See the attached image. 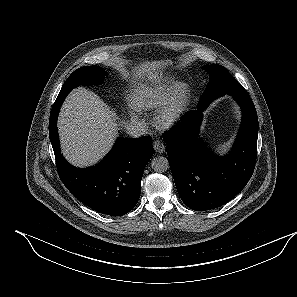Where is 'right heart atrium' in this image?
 I'll return each mask as SVG.
<instances>
[{
    "label": "right heart atrium",
    "mask_w": 297,
    "mask_h": 297,
    "mask_svg": "<svg viewBox=\"0 0 297 297\" xmlns=\"http://www.w3.org/2000/svg\"><path fill=\"white\" fill-rule=\"evenodd\" d=\"M129 113H130V115H131L132 118H134V119H138L139 118L138 113L133 108H130L129 109Z\"/></svg>",
    "instance_id": "d8ad5b80"
}]
</instances>
